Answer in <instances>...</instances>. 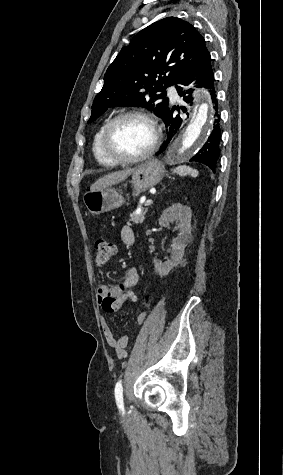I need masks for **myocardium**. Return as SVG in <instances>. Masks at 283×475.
<instances>
[{
	"mask_svg": "<svg viewBox=\"0 0 283 475\" xmlns=\"http://www.w3.org/2000/svg\"><path fill=\"white\" fill-rule=\"evenodd\" d=\"M128 117H139L147 120L154 132V138L151 146L149 149L142 155L133 157V158H122V157H113L109 154L108 152V143L110 140L111 133L115 127V125L122 119L128 118ZM161 143V127L159 124V120L157 116L153 113L145 112V111H138V110H132V111H126L123 113H120L119 115L115 116L113 119L110 120L108 125L106 126L102 137H101V151L103 155L106 157L107 162H135V165L141 164L151 158L157 149L159 148V145Z\"/></svg>",
	"mask_w": 283,
	"mask_h": 475,
	"instance_id": "1",
	"label": "myocardium"
}]
</instances>
